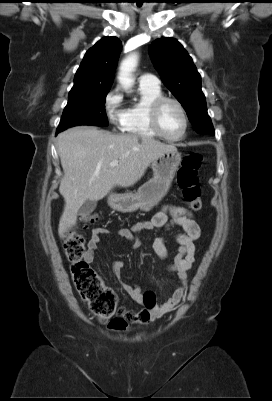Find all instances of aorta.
<instances>
[{
	"mask_svg": "<svg viewBox=\"0 0 272 401\" xmlns=\"http://www.w3.org/2000/svg\"><path fill=\"white\" fill-rule=\"evenodd\" d=\"M136 65H137L136 54L129 55L122 61L120 65L118 80L126 92H129L134 84L132 72L135 70Z\"/></svg>",
	"mask_w": 272,
	"mask_h": 401,
	"instance_id": "aorta-1",
	"label": "aorta"
}]
</instances>
